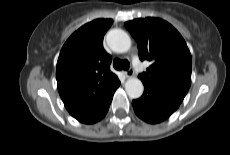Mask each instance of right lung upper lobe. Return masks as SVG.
<instances>
[{
	"instance_id": "obj_1",
	"label": "right lung upper lobe",
	"mask_w": 230,
	"mask_h": 155,
	"mask_svg": "<svg viewBox=\"0 0 230 155\" xmlns=\"http://www.w3.org/2000/svg\"><path fill=\"white\" fill-rule=\"evenodd\" d=\"M112 23L111 19H97L83 25L61 49L56 67L58 91L73 117L102 105L119 82L109 69L112 58L102 48Z\"/></svg>"
}]
</instances>
